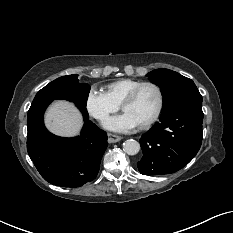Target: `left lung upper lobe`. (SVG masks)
<instances>
[{"label": "left lung upper lobe", "mask_w": 233, "mask_h": 233, "mask_svg": "<svg viewBox=\"0 0 233 233\" xmlns=\"http://www.w3.org/2000/svg\"><path fill=\"white\" fill-rule=\"evenodd\" d=\"M150 81L161 88L163 111L188 101H202L194 82L169 69H156L147 74Z\"/></svg>", "instance_id": "1"}]
</instances>
